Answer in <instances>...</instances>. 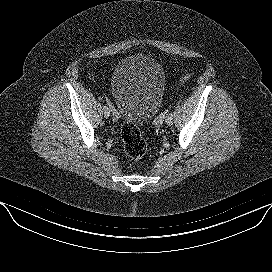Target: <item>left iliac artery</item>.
Returning <instances> with one entry per match:
<instances>
[{"instance_id": "44dca946", "label": "left iliac artery", "mask_w": 272, "mask_h": 272, "mask_svg": "<svg viewBox=\"0 0 272 272\" xmlns=\"http://www.w3.org/2000/svg\"><path fill=\"white\" fill-rule=\"evenodd\" d=\"M166 114H167V116L171 117V116H173L174 113H173V111L169 110V111H167Z\"/></svg>"}]
</instances>
